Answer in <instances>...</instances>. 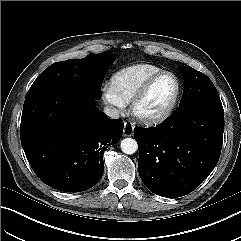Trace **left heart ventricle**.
Returning <instances> with one entry per match:
<instances>
[{"label": "left heart ventricle", "mask_w": 241, "mask_h": 241, "mask_svg": "<svg viewBox=\"0 0 241 241\" xmlns=\"http://www.w3.org/2000/svg\"><path fill=\"white\" fill-rule=\"evenodd\" d=\"M176 91V82L171 76H163L152 86L139 105L143 114H156L162 111L172 100Z\"/></svg>", "instance_id": "1"}]
</instances>
